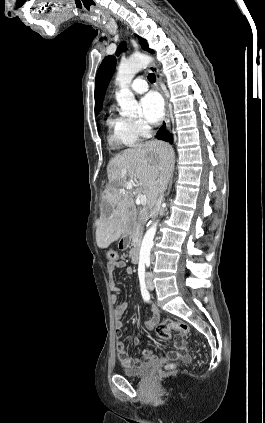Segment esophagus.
<instances>
[{
  "label": "esophagus",
  "mask_w": 265,
  "mask_h": 423,
  "mask_svg": "<svg viewBox=\"0 0 265 423\" xmlns=\"http://www.w3.org/2000/svg\"><path fill=\"white\" fill-rule=\"evenodd\" d=\"M148 69L152 73H154L156 75V78H157V87H158L159 91L161 92V94H162V96L164 98V101H165V119L164 120H165L167 129H170V126H171V123H170L171 122V118H170V111H169V106H168V100H167L166 94L164 93V91H163V89H162V87L160 85V75H159L158 69L155 67L154 64H149Z\"/></svg>",
  "instance_id": "34e87169"
}]
</instances>
